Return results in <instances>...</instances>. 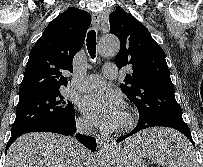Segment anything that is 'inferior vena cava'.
I'll return each mask as SVG.
<instances>
[{
    "label": "inferior vena cava",
    "mask_w": 203,
    "mask_h": 167,
    "mask_svg": "<svg viewBox=\"0 0 203 167\" xmlns=\"http://www.w3.org/2000/svg\"><path fill=\"white\" fill-rule=\"evenodd\" d=\"M76 127H77V132L81 134H90L92 132V126L85 121H80V120L77 121ZM84 166H85V163L82 157L81 167H84Z\"/></svg>",
    "instance_id": "1"
}]
</instances>
